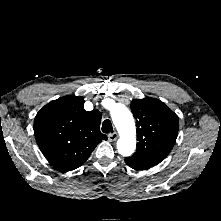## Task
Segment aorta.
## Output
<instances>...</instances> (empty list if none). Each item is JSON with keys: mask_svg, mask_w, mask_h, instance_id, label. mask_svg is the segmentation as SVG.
<instances>
[{"mask_svg": "<svg viewBox=\"0 0 221 221\" xmlns=\"http://www.w3.org/2000/svg\"><path fill=\"white\" fill-rule=\"evenodd\" d=\"M111 118L120 135L117 141L118 153L130 156L136 148V127L132 113L123 104H115L111 109Z\"/></svg>", "mask_w": 221, "mask_h": 221, "instance_id": "1", "label": "aorta"}]
</instances>
